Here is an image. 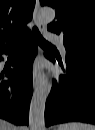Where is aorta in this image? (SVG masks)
I'll return each mask as SVG.
<instances>
[{
	"instance_id": "obj_1",
	"label": "aorta",
	"mask_w": 95,
	"mask_h": 130,
	"mask_svg": "<svg viewBox=\"0 0 95 130\" xmlns=\"http://www.w3.org/2000/svg\"><path fill=\"white\" fill-rule=\"evenodd\" d=\"M37 18L44 24L51 23L55 18V11L52 8H41ZM49 82L44 75L36 85L29 109L30 130H45V104L48 96Z\"/></svg>"
}]
</instances>
